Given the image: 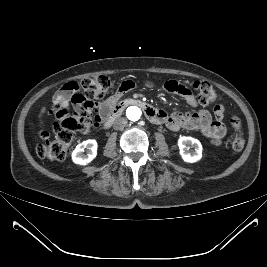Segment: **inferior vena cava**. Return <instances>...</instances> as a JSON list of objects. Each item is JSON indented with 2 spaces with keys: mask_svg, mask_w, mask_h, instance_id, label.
<instances>
[{
  "mask_svg": "<svg viewBox=\"0 0 267 267\" xmlns=\"http://www.w3.org/2000/svg\"><path fill=\"white\" fill-rule=\"evenodd\" d=\"M127 124V119L125 118H118L114 121L113 128L115 130L123 129Z\"/></svg>",
  "mask_w": 267,
  "mask_h": 267,
  "instance_id": "obj_1",
  "label": "inferior vena cava"
}]
</instances>
